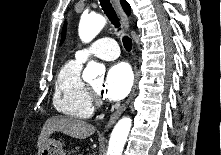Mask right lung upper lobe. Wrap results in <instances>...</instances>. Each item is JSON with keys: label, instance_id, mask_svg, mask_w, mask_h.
Returning <instances> with one entry per match:
<instances>
[{"label": "right lung upper lobe", "instance_id": "right-lung-upper-lobe-1", "mask_svg": "<svg viewBox=\"0 0 221 155\" xmlns=\"http://www.w3.org/2000/svg\"><path fill=\"white\" fill-rule=\"evenodd\" d=\"M122 7L124 8L126 13H130V6L126 0H121Z\"/></svg>", "mask_w": 221, "mask_h": 155}]
</instances>
